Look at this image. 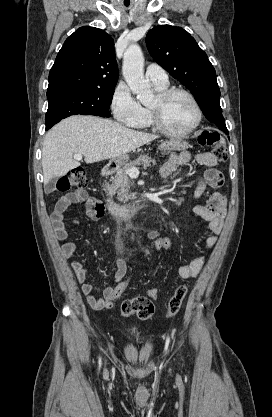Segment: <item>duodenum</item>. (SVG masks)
Returning a JSON list of instances; mask_svg holds the SVG:
<instances>
[{
    "label": "duodenum",
    "mask_w": 272,
    "mask_h": 417,
    "mask_svg": "<svg viewBox=\"0 0 272 417\" xmlns=\"http://www.w3.org/2000/svg\"><path fill=\"white\" fill-rule=\"evenodd\" d=\"M113 170H114V166L112 164H106L105 166H103L101 170V174L107 175ZM105 205L110 215L116 218H125V217L134 216L142 212L146 208L147 202L139 201L137 203H133L130 205H120L114 202L112 198L107 197Z\"/></svg>",
    "instance_id": "1"
}]
</instances>
